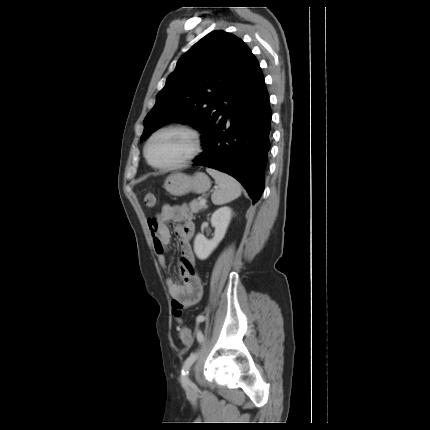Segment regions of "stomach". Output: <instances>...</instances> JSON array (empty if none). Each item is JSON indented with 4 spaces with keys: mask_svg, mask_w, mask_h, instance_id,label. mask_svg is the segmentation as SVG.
<instances>
[{
    "mask_svg": "<svg viewBox=\"0 0 430 430\" xmlns=\"http://www.w3.org/2000/svg\"><path fill=\"white\" fill-rule=\"evenodd\" d=\"M210 186L209 177L202 172H197L192 176L175 173L168 176L164 183L166 191L173 196H183L190 192L203 194L209 190Z\"/></svg>",
    "mask_w": 430,
    "mask_h": 430,
    "instance_id": "stomach-1",
    "label": "stomach"
}]
</instances>
